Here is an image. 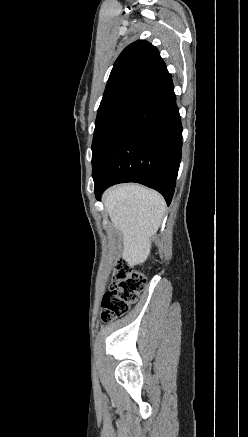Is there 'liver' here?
<instances>
[{"mask_svg":"<svg viewBox=\"0 0 248 437\" xmlns=\"http://www.w3.org/2000/svg\"><path fill=\"white\" fill-rule=\"evenodd\" d=\"M103 202L112 223L122 233L123 259L130 264L145 261L150 254L151 238L164 215L163 197L138 184H126L108 189Z\"/></svg>","mask_w":248,"mask_h":437,"instance_id":"liver-1","label":"liver"}]
</instances>
